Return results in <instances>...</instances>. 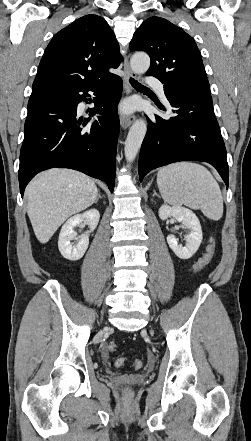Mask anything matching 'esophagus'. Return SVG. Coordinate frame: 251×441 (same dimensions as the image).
Here are the masks:
<instances>
[{
	"mask_svg": "<svg viewBox=\"0 0 251 441\" xmlns=\"http://www.w3.org/2000/svg\"><path fill=\"white\" fill-rule=\"evenodd\" d=\"M135 73L131 70L129 65L128 57H125L124 60V90L125 94L129 95L132 92V87L129 83V79L131 77H135ZM136 116L135 114H131L129 116L121 115L120 116V124L123 129H126L129 127L133 121L135 120Z\"/></svg>",
	"mask_w": 251,
	"mask_h": 441,
	"instance_id": "obj_1",
	"label": "esophagus"
}]
</instances>
